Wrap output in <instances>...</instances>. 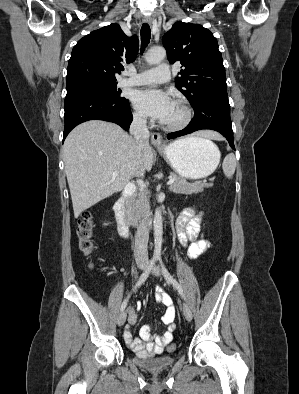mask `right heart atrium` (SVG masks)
<instances>
[{
  "label": "right heart atrium",
  "mask_w": 299,
  "mask_h": 394,
  "mask_svg": "<svg viewBox=\"0 0 299 394\" xmlns=\"http://www.w3.org/2000/svg\"><path fill=\"white\" fill-rule=\"evenodd\" d=\"M134 121L138 124H144L145 123V118L144 116L139 113V112H135L133 115Z\"/></svg>",
  "instance_id": "d8ad5b80"
}]
</instances>
